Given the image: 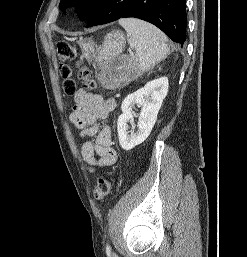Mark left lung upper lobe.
Returning a JSON list of instances; mask_svg holds the SVG:
<instances>
[{
	"mask_svg": "<svg viewBox=\"0 0 247 257\" xmlns=\"http://www.w3.org/2000/svg\"><path fill=\"white\" fill-rule=\"evenodd\" d=\"M103 0H61L59 8L66 13L67 7L76 6L81 20L88 19Z\"/></svg>",
	"mask_w": 247,
	"mask_h": 257,
	"instance_id": "1",
	"label": "left lung upper lobe"
}]
</instances>
